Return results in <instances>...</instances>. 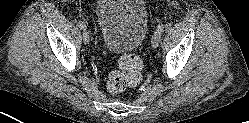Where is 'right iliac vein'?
<instances>
[{"instance_id": "1", "label": "right iliac vein", "mask_w": 249, "mask_h": 123, "mask_svg": "<svg viewBox=\"0 0 249 123\" xmlns=\"http://www.w3.org/2000/svg\"><path fill=\"white\" fill-rule=\"evenodd\" d=\"M83 41L85 44H89L90 42V33L87 29L83 30Z\"/></svg>"}]
</instances>
